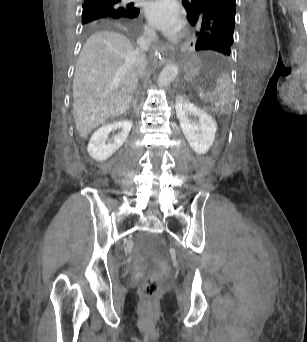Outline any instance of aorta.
<instances>
[{"mask_svg":"<svg viewBox=\"0 0 307 342\" xmlns=\"http://www.w3.org/2000/svg\"><path fill=\"white\" fill-rule=\"evenodd\" d=\"M177 74L178 66H176V64H168V66H165L157 78V84L159 88H165V86H169L170 82L175 80Z\"/></svg>","mask_w":307,"mask_h":342,"instance_id":"obj_1","label":"aorta"}]
</instances>
